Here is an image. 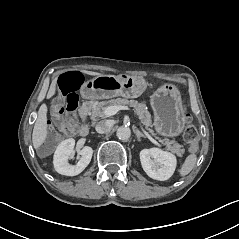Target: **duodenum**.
<instances>
[{
    "mask_svg": "<svg viewBox=\"0 0 239 239\" xmlns=\"http://www.w3.org/2000/svg\"><path fill=\"white\" fill-rule=\"evenodd\" d=\"M89 112H90L89 103H86V102L83 103L82 106L80 107V115L83 120V123L79 128V135L82 137H85L89 134V125L87 123Z\"/></svg>",
    "mask_w": 239,
    "mask_h": 239,
    "instance_id": "duodenum-1",
    "label": "duodenum"
}]
</instances>
